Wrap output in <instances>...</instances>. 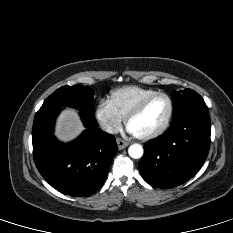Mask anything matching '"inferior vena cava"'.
I'll list each match as a JSON object with an SVG mask.
<instances>
[{"label": "inferior vena cava", "mask_w": 233, "mask_h": 233, "mask_svg": "<svg viewBox=\"0 0 233 233\" xmlns=\"http://www.w3.org/2000/svg\"><path fill=\"white\" fill-rule=\"evenodd\" d=\"M101 128H102V130H104L105 132H107L109 134H117L118 133V129L116 127L109 125V124H102Z\"/></svg>", "instance_id": "602c4592"}]
</instances>
